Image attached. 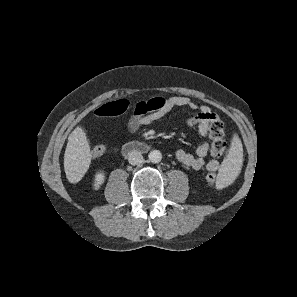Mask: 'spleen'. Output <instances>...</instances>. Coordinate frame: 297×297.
I'll list each match as a JSON object with an SVG mask.
<instances>
[{
    "instance_id": "1",
    "label": "spleen",
    "mask_w": 297,
    "mask_h": 297,
    "mask_svg": "<svg viewBox=\"0 0 297 297\" xmlns=\"http://www.w3.org/2000/svg\"><path fill=\"white\" fill-rule=\"evenodd\" d=\"M243 163L242 143L237 135H234L227 157L224 159L219 174V181L222 184H229L234 180L240 171Z\"/></svg>"
}]
</instances>
